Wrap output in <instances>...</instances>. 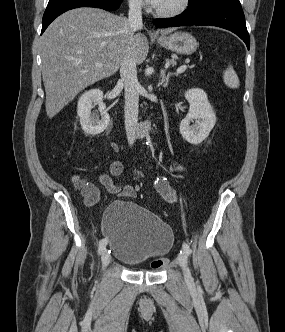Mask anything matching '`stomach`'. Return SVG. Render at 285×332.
I'll use <instances>...</instances> for the list:
<instances>
[{
    "label": "stomach",
    "instance_id": "0dacf381",
    "mask_svg": "<svg viewBox=\"0 0 285 332\" xmlns=\"http://www.w3.org/2000/svg\"><path fill=\"white\" fill-rule=\"evenodd\" d=\"M157 41L162 47L181 55L193 54L198 46L196 38L186 32H176L169 36H161Z\"/></svg>",
    "mask_w": 285,
    "mask_h": 332
}]
</instances>
